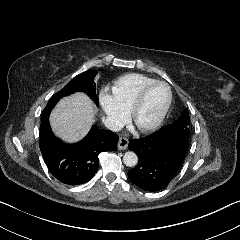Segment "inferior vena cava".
<instances>
[{"instance_id": "inferior-vena-cava-1", "label": "inferior vena cava", "mask_w": 240, "mask_h": 240, "mask_svg": "<svg viewBox=\"0 0 240 240\" xmlns=\"http://www.w3.org/2000/svg\"><path fill=\"white\" fill-rule=\"evenodd\" d=\"M103 124L112 131H120L123 128L122 123L114 117H104Z\"/></svg>"}]
</instances>
